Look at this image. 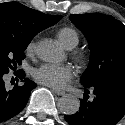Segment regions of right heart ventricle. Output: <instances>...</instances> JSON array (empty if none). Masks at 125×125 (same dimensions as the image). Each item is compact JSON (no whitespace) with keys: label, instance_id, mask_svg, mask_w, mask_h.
Returning <instances> with one entry per match:
<instances>
[{"label":"right heart ventricle","instance_id":"right-heart-ventricle-1","mask_svg":"<svg viewBox=\"0 0 125 125\" xmlns=\"http://www.w3.org/2000/svg\"><path fill=\"white\" fill-rule=\"evenodd\" d=\"M57 35L60 41L62 42V44L67 49L74 48L79 42L78 33L74 29L69 27L60 28L57 32Z\"/></svg>","mask_w":125,"mask_h":125}]
</instances>
